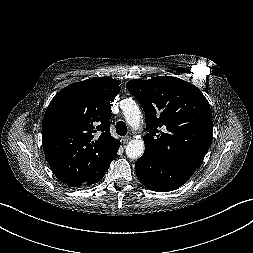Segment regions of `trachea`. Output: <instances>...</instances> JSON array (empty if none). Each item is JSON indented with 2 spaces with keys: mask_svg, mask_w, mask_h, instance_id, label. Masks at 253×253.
Here are the masks:
<instances>
[{
  "mask_svg": "<svg viewBox=\"0 0 253 253\" xmlns=\"http://www.w3.org/2000/svg\"><path fill=\"white\" fill-rule=\"evenodd\" d=\"M116 132L120 136H125L127 134V126L123 121H118L116 123Z\"/></svg>",
  "mask_w": 253,
  "mask_h": 253,
  "instance_id": "trachea-1",
  "label": "trachea"
}]
</instances>
